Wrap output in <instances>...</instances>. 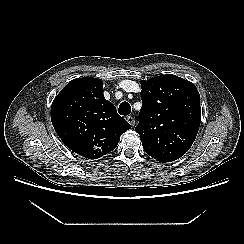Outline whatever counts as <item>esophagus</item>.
Segmentation results:
<instances>
[{
  "mask_svg": "<svg viewBox=\"0 0 244 244\" xmlns=\"http://www.w3.org/2000/svg\"><path fill=\"white\" fill-rule=\"evenodd\" d=\"M127 122L131 125L134 126L135 125V119L132 116H128L127 117Z\"/></svg>",
  "mask_w": 244,
  "mask_h": 244,
  "instance_id": "esophagus-1",
  "label": "esophagus"
}]
</instances>
